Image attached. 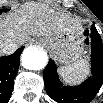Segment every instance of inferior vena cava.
Returning a JSON list of instances; mask_svg holds the SVG:
<instances>
[{"label":"inferior vena cava","instance_id":"602c4592","mask_svg":"<svg viewBox=\"0 0 103 103\" xmlns=\"http://www.w3.org/2000/svg\"><path fill=\"white\" fill-rule=\"evenodd\" d=\"M17 47V44L16 43H8V44H1V50L4 52V53H8L11 49H14ZM13 53V52H12Z\"/></svg>","mask_w":103,"mask_h":103}]
</instances>
